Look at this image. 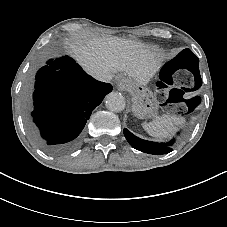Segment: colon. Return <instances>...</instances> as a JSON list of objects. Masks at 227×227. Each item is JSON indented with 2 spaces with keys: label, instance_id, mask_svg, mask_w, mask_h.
Listing matches in <instances>:
<instances>
[{
  "label": "colon",
  "instance_id": "1",
  "mask_svg": "<svg viewBox=\"0 0 227 227\" xmlns=\"http://www.w3.org/2000/svg\"><path fill=\"white\" fill-rule=\"evenodd\" d=\"M199 85L198 59L191 51L184 50L162 66L157 82L158 97L168 110H176L183 104V111H191L198 105L199 97L187 95Z\"/></svg>",
  "mask_w": 227,
  "mask_h": 227
}]
</instances>
